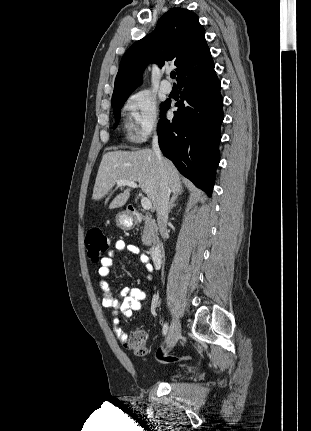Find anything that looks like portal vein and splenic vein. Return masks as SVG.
I'll list each match as a JSON object with an SVG mask.
<instances>
[{
  "mask_svg": "<svg viewBox=\"0 0 311 431\" xmlns=\"http://www.w3.org/2000/svg\"><path fill=\"white\" fill-rule=\"evenodd\" d=\"M116 184L117 186H119V188L120 186H129V188H139V186H137L135 182H130V180H116ZM141 206L143 210H151L152 202L151 200H148V198H144V196H142Z\"/></svg>",
  "mask_w": 311,
  "mask_h": 431,
  "instance_id": "1",
  "label": "portal vein and splenic vein"
}]
</instances>
